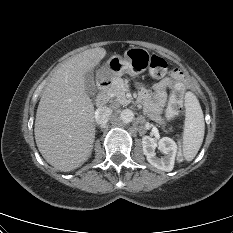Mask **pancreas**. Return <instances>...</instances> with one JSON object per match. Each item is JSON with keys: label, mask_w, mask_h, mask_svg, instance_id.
I'll use <instances>...</instances> for the list:
<instances>
[{"label": "pancreas", "mask_w": 233, "mask_h": 233, "mask_svg": "<svg viewBox=\"0 0 233 233\" xmlns=\"http://www.w3.org/2000/svg\"><path fill=\"white\" fill-rule=\"evenodd\" d=\"M125 82L123 79L117 78L113 85L107 91L108 95L115 98V101L123 106L128 105L131 101L126 99L125 90L123 89Z\"/></svg>", "instance_id": "cf45deb5"}]
</instances>
